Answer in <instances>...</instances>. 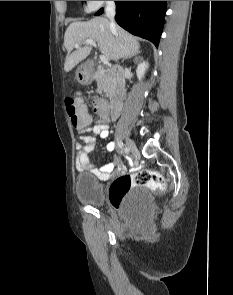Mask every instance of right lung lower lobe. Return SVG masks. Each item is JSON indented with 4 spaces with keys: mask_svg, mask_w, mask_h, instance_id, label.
Here are the masks:
<instances>
[{
    "mask_svg": "<svg viewBox=\"0 0 233 295\" xmlns=\"http://www.w3.org/2000/svg\"><path fill=\"white\" fill-rule=\"evenodd\" d=\"M117 23L158 47L164 25L166 1H115ZM103 13L100 9L96 15Z\"/></svg>",
    "mask_w": 233,
    "mask_h": 295,
    "instance_id": "1",
    "label": "right lung lower lobe"
}]
</instances>
